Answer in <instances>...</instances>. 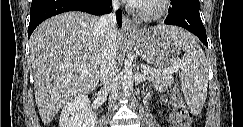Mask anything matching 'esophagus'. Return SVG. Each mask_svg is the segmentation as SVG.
Instances as JSON below:
<instances>
[{
    "instance_id": "1",
    "label": "esophagus",
    "mask_w": 243,
    "mask_h": 127,
    "mask_svg": "<svg viewBox=\"0 0 243 127\" xmlns=\"http://www.w3.org/2000/svg\"><path fill=\"white\" fill-rule=\"evenodd\" d=\"M123 31L129 35H133L136 32L132 20L126 16L123 17Z\"/></svg>"
}]
</instances>
